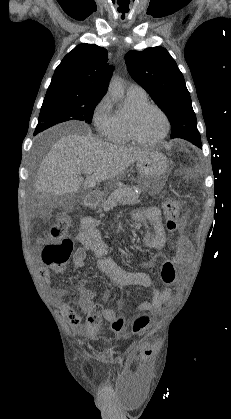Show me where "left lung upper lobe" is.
I'll use <instances>...</instances> for the list:
<instances>
[{
  "label": "left lung upper lobe",
  "mask_w": 231,
  "mask_h": 419,
  "mask_svg": "<svg viewBox=\"0 0 231 419\" xmlns=\"http://www.w3.org/2000/svg\"><path fill=\"white\" fill-rule=\"evenodd\" d=\"M127 69L166 113L172 127L171 138L200 140L196 115L183 74L168 51L160 46L129 51Z\"/></svg>",
  "instance_id": "1"
}]
</instances>
